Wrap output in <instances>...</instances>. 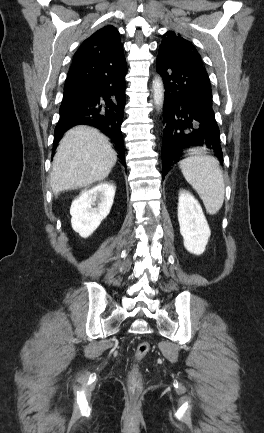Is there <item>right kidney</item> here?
I'll return each instance as SVG.
<instances>
[{
  "label": "right kidney",
  "mask_w": 264,
  "mask_h": 433,
  "mask_svg": "<svg viewBox=\"0 0 264 433\" xmlns=\"http://www.w3.org/2000/svg\"><path fill=\"white\" fill-rule=\"evenodd\" d=\"M115 186L103 182L83 190L71 205L72 228L83 238L89 237L107 217L113 204ZM98 200V206L92 207Z\"/></svg>",
  "instance_id": "obj_1"
}]
</instances>
